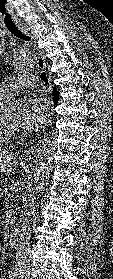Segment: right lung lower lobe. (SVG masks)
<instances>
[{"label": "right lung lower lobe", "instance_id": "obj_1", "mask_svg": "<svg viewBox=\"0 0 113 279\" xmlns=\"http://www.w3.org/2000/svg\"><path fill=\"white\" fill-rule=\"evenodd\" d=\"M53 95H54V104H56L59 99L58 92L56 90H53Z\"/></svg>", "mask_w": 113, "mask_h": 279}]
</instances>
